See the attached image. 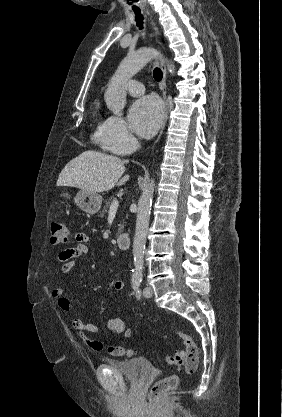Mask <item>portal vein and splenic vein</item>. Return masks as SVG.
I'll return each mask as SVG.
<instances>
[{"label":"portal vein and splenic vein","instance_id":"portal-vein-and-splenic-vein-1","mask_svg":"<svg viewBox=\"0 0 282 417\" xmlns=\"http://www.w3.org/2000/svg\"><path fill=\"white\" fill-rule=\"evenodd\" d=\"M111 209H112V211L113 212H118L119 211V202H118V200H113V202H111Z\"/></svg>","mask_w":282,"mask_h":417}]
</instances>
